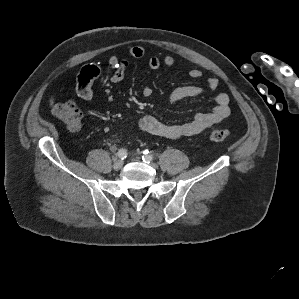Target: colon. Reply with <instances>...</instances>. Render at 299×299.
Instances as JSON below:
<instances>
[{"label":"colon","instance_id":"1","mask_svg":"<svg viewBox=\"0 0 299 299\" xmlns=\"http://www.w3.org/2000/svg\"><path fill=\"white\" fill-rule=\"evenodd\" d=\"M53 114L65 124L72 132H77L82 124V112L79 107L73 102H64L56 104L53 107ZM231 136L230 131L226 129H213L209 138L212 141L220 142L227 140Z\"/></svg>","mask_w":299,"mask_h":299}]
</instances>
